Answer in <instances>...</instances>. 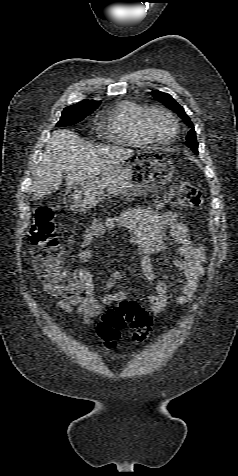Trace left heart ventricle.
<instances>
[{"instance_id":"obj_1","label":"left heart ventricle","mask_w":238,"mask_h":476,"mask_svg":"<svg viewBox=\"0 0 238 476\" xmlns=\"http://www.w3.org/2000/svg\"><path fill=\"white\" fill-rule=\"evenodd\" d=\"M150 128L153 134L160 140H167L173 134V123L163 113L155 112L150 117Z\"/></svg>"}]
</instances>
